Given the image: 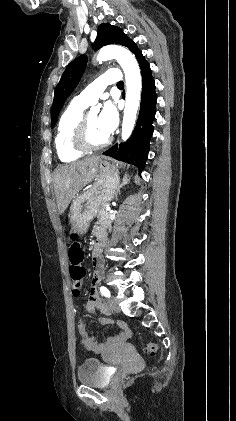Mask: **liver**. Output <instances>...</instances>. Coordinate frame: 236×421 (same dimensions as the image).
Segmentation results:
<instances>
[{
	"mask_svg": "<svg viewBox=\"0 0 236 421\" xmlns=\"http://www.w3.org/2000/svg\"><path fill=\"white\" fill-rule=\"evenodd\" d=\"M100 156H89L84 160L57 166L53 174L54 192L59 213H64L75 194L97 174Z\"/></svg>",
	"mask_w": 236,
	"mask_h": 421,
	"instance_id": "1",
	"label": "liver"
}]
</instances>
